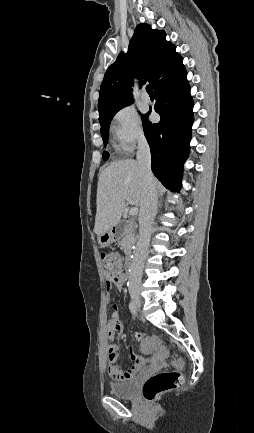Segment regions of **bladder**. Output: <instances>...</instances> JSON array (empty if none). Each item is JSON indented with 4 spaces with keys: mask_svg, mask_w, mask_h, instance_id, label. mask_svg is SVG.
I'll return each mask as SVG.
<instances>
[{
    "mask_svg": "<svg viewBox=\"0 0 254 433\" xmlns=\"http://www.w3.org/2000/svg\"><path fill=\"white\" fill-rule=\"evenodd\" d=\"M138 378L134 377L122 382H112L109 384L110 393L118 398L129 399L136 394Z\"/></svg>",
    "mask_w": 254,
    "mask_h": 433,
    "instance_id": "obj_1",
    "label": "bladder"
}]
</instances>
